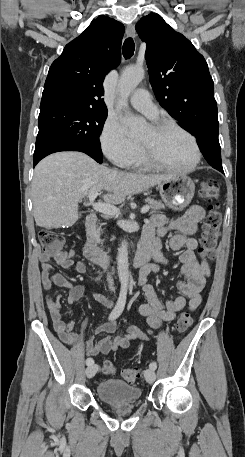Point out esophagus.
<instances>
[{
    "label": "esophagus",
    "mask_w": 245,
    "mask_h": 457,
    "mask_svg": "<svg viewBox=\"0 0 245 457\" xmlns=\"http://www.w3.org/2000/svg\"><path fill=\"white\" fill-rule=\"evenodd\" d=\"M126 34H127L128 37H132V38L135 37L136 32H135L134 25H132V24L131 25H127Z\"/></svg>",
    "instance_id": "34e87169"
}]
</instances>
